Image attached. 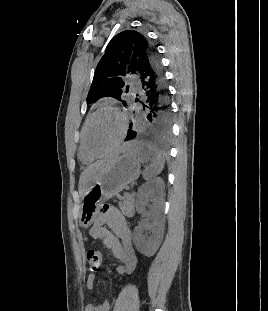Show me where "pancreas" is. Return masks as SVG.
<instances>
[{"mask_svg":"<svg viewBox=\"0 0 268 311\" xmlns=\"http://www.w3.org/2000/svg\"><path fill=\"white\" fill-rule=\"evenodd\" d=\"M120 210L127 217H132L134 215L135 199L130 195H124V201L118 203Z\"/></svg>","mask_w":268,"mask_h":311,"instance_id":"1","label":"pancreas"}]
</instances>
